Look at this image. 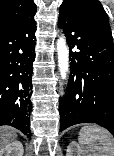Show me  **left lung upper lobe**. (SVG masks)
Wrapping results in <instances>:
<instances>
[{"label": "left lung upper lobe", "instance_id": "obj_1", "mask_svg": "<svg viewBox=\"0 0 114 156\" xmlns=\"http://www.w3.org/2000/svg\"><path fill=\"white\" fill-rule=\"evenodd\" d=\"M62 4H69L81 9L111 30L107 14L98 0H66Z\"/></svg>", "mask_w": 114, "mask_h": 156}]
</instances>
